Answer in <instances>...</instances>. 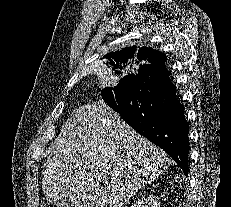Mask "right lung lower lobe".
Here are the masks:
<instances>
[{"mask_svg":"<svg viewBox=\"0 0 231 207\" xmlns=\"http://www.w3.org/2000/svg\"><path fill=\"white\" fill-rule=\"evenodd\" d=\"M108 88L102 91L103 100L139 134L168 153L187 176L189 125L167 69L142 66Z\"/></svg>","mask_w":231,"mask_h":207,"instance_id":"1","label":"right lung lower lobe"}]
</instances>
